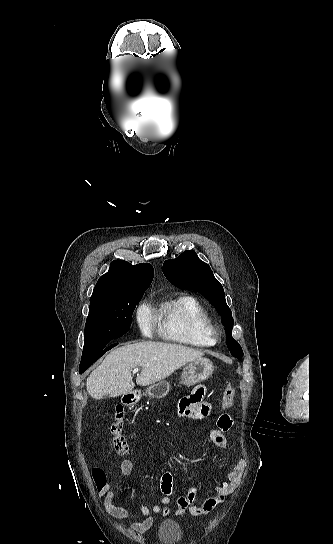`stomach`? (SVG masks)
<instances>
[{
    "label": "stomach",
    "mask_w": 333,
    "mask_h": 544,
    "mask_svg": "<svg viewBox=\"0 0 333 544\" xmlns=\"http://www.w3.org/2000/svg\"><path fill=\"white\" fill-rule=\"evenodd\" d=\"M213 371L214 366L212 362L209 359L200 358L184 367L180 383L186 386L194 385L208 379ZM169 390L170 383L166 380H160L146 388L143 395L148 396L149 398L160 399L165 397L169 393ZM130 395L131 402L129 404L138 402L142 397L141 391H132Z\"/></svg>",
    "instance_id": "stomach-1"
}]
</instances>
